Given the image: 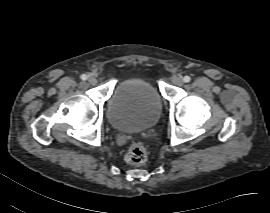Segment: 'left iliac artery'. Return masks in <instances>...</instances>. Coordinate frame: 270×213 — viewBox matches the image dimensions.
<instances>
[{"label":"left iliac artery","instance_id":"left-iliac-artery-1","mask_svg":"<svg viewBox=\"0 0 270 213\" xmlns=\"http://www.w3.org/2000/svg\"><path fill=\"white\" fill-rule=\"evenodd\" d=\"M183 81H184L185 83H188V82L191 81V78H190L189 76H184Z\"/></svg>","mask_w":270,"mask_h":213}]
</instances>
